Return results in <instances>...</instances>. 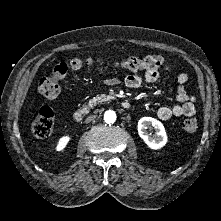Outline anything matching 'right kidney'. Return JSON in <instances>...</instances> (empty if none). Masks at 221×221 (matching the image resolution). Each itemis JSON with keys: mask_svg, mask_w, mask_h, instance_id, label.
Wrapping results in <instances>:
<instances>
[{"mask_svg": "<svg viewBox=\"0 0 221 221\" xmlns=\"http://www.w3.org/2000/svg\"><path fill=\"white\" fill-rule=\"evenodd\" d=\"M70 141L69 136H63L59 139L57 146H56V151H62Z\"/></svg>", "mask_w": 221, "mask_h": 221, "instance_id": "ca27d5eb", "label": "right kidney"}]
</instances>
